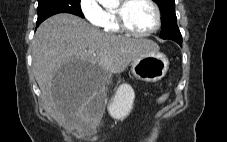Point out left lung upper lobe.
Segmentation results:
<instances>
[{
  "instance_id": "obj_1",
  "label": "left lung upper lobe",
  "mask_w": 227,
  "mask_h": 142,
  "mask_svg": "<svg viewBox=\"0 0 227 142\" xmlns=\"http://www.w3.org/2000/svg\"><path fill=\"white\" fill-rule=\"evenodd\" d=\"M161 11L162 39H171L176 42H182V36L177 26V17L175 14L174 0H155Z\"/></svg>"
}]
</instances>
